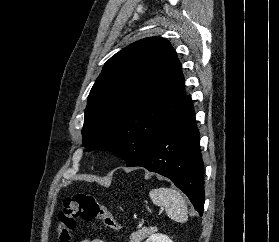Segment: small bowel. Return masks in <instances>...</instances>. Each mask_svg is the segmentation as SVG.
I'll return each instance as SVG.
<instances>
[{"mask_svg":"<svg viewBox=\"0 0 279 242\" xmlns=\"http://www.w3.org/2000/svg\"><path fill=\"white\" fill-rule=\"evenodd\" d=\"M81 242H106V241L97 238V239H85V240H83Z\"/></svg>","mask_w":279,"mask_h":242,"instance_id":"1","label":"small bowel"}]
</instances>
